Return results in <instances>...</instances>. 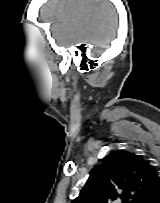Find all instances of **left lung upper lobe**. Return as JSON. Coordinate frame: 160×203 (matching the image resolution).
I'll list each match as a JSON object with an SVG mask.
<instances>
[{
    "label": "left lung upper lobe",
    "mask_w": 160,
    "mask_h": 203,
    "mask_svg": "<svg viewBox=\"0 0 160 203\" xmlns=\"http://www.w3.org/2000/svg\"><path fill=\"white\" fill-rule=\"evenodd\" d=\"M160 185V175L139 155L113 151L93 169L72 203H150Z\"/></svg>",
    "instance_id": "1"
}]
</instances>
